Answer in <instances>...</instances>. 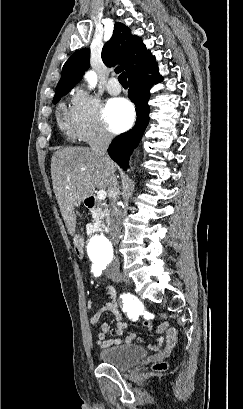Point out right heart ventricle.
Segmentation results:
<instances>
[{
  "instance_id": "right-heart-ventricle-1",
  "label": "right heart ventricle",
  "mask_w": 243,
  "mask_h": 409,
  "mask_svg": "<svg viewBox=\"0 0 243 409\" xmlns=\"http://www.w3.org/2000/svg\"><path fill=\"white\" fill-rule=\"evenodd\" d=\"M58 123L60 128L67 133L68 135H71V126H70V118H69V111L66 109L64 105L60 106L59 113H58Z\"/></svg>"
}]
</instances>
